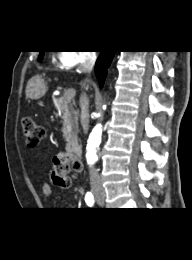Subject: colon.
<instances>
[{"label": "colon", "mask_w": 192, "mask_h": 260, "mask_svg": "<svg viewBox=\"0 0 192 260\" xmlns=\"http://www.w3.org/2000/svg\"><path fill=\"white\" fill-rule=\"evenodd\" d=\"M23 138L26 146L36 148L45 137V130L31 118L22 120ZM80 168V162L67 153H59L53 159L52 180L55 185L67 188L71 185L69 173Z\"/></svg>", "instance_id": "obj_1"}]
</instances>
